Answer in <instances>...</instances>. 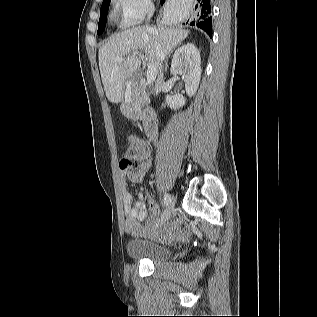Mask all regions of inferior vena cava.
<instances>
[{
	"mask_svg": "<svg viewBox=\"0 0 317 317\" xmlns=\"http://www.w3.org/2000/svg\"><path fill=\"white\" fill-rule=\"evenodd\" d=\"M154 7H150L149 8V12H148V17H147V21H149L150 19H151V17H152V15H153V13H154ZM146 29L147 30H150V27L148 26V25H146ZM158 57H159V59H160V62H161V69H160V74L158 75V78H157V83H156V88H155V92H156V94H158V92L161 90V88H162V83H163V73L161 72V70H162V63H163V61H164V59H165V54L162 52V51H160V50H158Z\"/></svg>",
	"mask_w": 317,
	"mask_h": 317,
	"instance_id": "inferior-vena-cava-1",
	"label": "inferior vena cava"
}]
</instances>
